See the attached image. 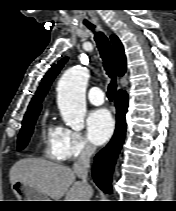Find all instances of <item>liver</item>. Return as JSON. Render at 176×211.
<instances>
[{
    "label": "liver",
    "instance_id": "obj_1",
    "mask_svg": "<svg viewBox=\"0 0 176 211\" xmlns=\"http://www.w3.org/2000/svg\"><path fill=\"white\" fill-rule=\"evenodd\" d=\"M11 184L21 181L37 188L47 197L59 201H89L92 187L76 181L74 171L64 165L39 158L17 161L9 172Z\"/></svg>",
    "mask_w": 176,
    "mask_h": 211
}]
</instances>
